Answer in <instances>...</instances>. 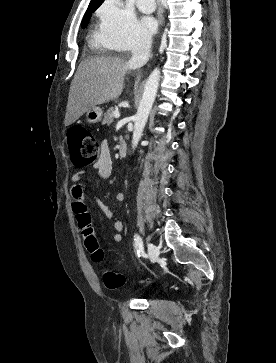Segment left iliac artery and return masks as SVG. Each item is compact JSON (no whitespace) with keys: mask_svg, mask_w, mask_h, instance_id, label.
<instances>
[{"mask_svg":"<svg viewBox=\"0 0 276 363\" xmlns=\"http://www.w3.org/2000/svg\"><path fill=\"white\" fill-rule=\"evenodd\" d=\"M134 241H135V248L138 254V257L141 256V254L143 253V242L141 237L138 234L134 235Z\"/></svg>","mask_w":276,"mask_h":363,"instance_id":"44dca946","label":"left iliac artery"}]
</instances>
